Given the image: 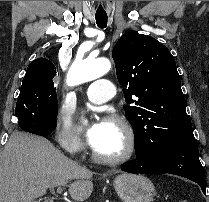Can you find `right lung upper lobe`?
I'll list each match as a JSON object with an SVG mask.
<instances>
[{"label":"right lung upper lobe","mask_w":209,"mask_h":202,"mask_svg":"<svg viewBox=\"0 0 209 202\" xmlns=\"http://www.w3.org/2000/svg\"><path fill=\"white\" fill-rule=\"evenodd\" d=\"M35 74L56 75V68L50 60L38 58L29 64L24 78Z\"/></svg>","instance_id":"cb5924a9"}]
</instances>
